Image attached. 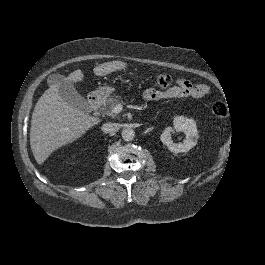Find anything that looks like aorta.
Returning <instances> with one entry per match:
<instances>
[{"mask_svg":"<svg viewBox=\"0 0 265 265\" xmlns=\"http://www.w3.org/2000/svg\"><path fill=\"white\" fill-rule=\"evenodd\" d=\"M121 134H122V138L125 141H131L134 139V136H135V132L132 128H124Z\"/></svg>","mask_w":265,"mask_h":265,"instance_id":"aorta-1","label":"aorta"}]
</instances>
